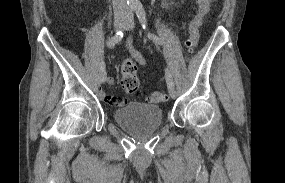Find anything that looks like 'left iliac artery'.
Wrapping results in <instances>:
<instances>
[{
  "mask_svg": "<svg viewBox=\"0 0 285 183\" xmlns=\"http://www.w3.org/2000/svg\"><path fill=\"white\" fill-rule=\"evenodd\" d=\"M135 10H136L137 17H138L143 29H146V15H145L144 8L142 6H138V7H136ZM148 37L151 38L153 40V42L156 44H159V45L163 44V41L159 37H157L153 34L148 33ZM165 78H166L167 84H173L174 85L172 75H171L170 70L168 68H166V70H165Z\"/></svg>",
  "mask_w": 285,
  "mask_h": 183,
  "instance_id": "1",
  "label": "left iliac artery"
}]
</instances>
